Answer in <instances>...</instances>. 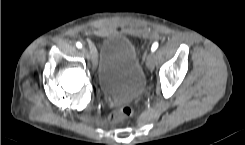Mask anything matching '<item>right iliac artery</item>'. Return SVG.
<instances>
[{
    "mask_svg": "<svg viewBox=\"0 0 245 145\" xmlns=\"http://www.w3.org/2000/svg\"><path fill=\"white\" fill-rule=\"evenodd\" d=\"M76 46H77L78 48H81V47H82V44H81L80 42H77V43H76Z\"/></svg>",
    "mask_w": 245,
    "mask_h": 145,
    "instance_id": "82829eb1",
    "label": "right iliac artery"
}]
</instances>
